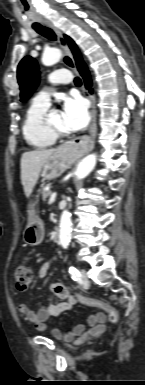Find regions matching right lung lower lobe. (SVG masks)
I'll use <instances>...</instances> for the list:
<instances>
[{
  "label": "right lung lower lobe",
  "instance_id": "right-lung-lower-lobe-1",
  "mask_svg": "<svg viewBox=\"0 0 145 385\" xmlns=\"http://www.w3.org/2000/svg\"><path fill=\"white\" fill-rule=\"evenodd\" d=\"M78 70L80 72V74L82 75L83 79H84V82H85V85H86V88H90L91 87V78H90V75H89V72L87 70V67L85 64H82L81 66L78 67ZM90 93H92V90L90 89Z\"/></svg>",
  "mask_w": 145,
  "mask_h": 385
}]
</instances>
